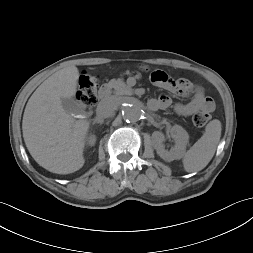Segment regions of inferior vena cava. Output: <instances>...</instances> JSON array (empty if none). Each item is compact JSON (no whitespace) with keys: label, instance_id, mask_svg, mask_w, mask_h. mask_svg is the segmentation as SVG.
I'll use <instances>...</instances> for the list:
<instances>
[{"label":"inferior vena cava","instance_id":"602c4592","mask_svg":"<svg viewBox=\"0 0 253 253\" xmlns=\"http://www.w3.org/2000/svg\"><path fill=\"white\" fill-rule=\"evenodd\" d=\"M116 110V102L111 99L102 100L96 109L97 119L103 120L110 117Z\"/></svg>","mask_w":253,"mask_h":253}]
</instances>
